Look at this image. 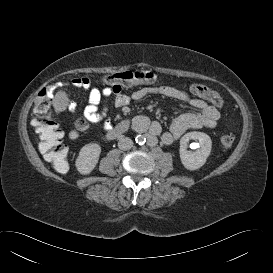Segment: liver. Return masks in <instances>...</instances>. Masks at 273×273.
<instances>
[{
	"mask_svg": "<svg viewBox=\"0 0 273 273\" xmlns=\"http://www.w3.org/2000/svg\"><path fill=\"white\" fill-rule=\"evenodd\" d=\"M69 104V98L64 91H58L53 99V107L57 113L65 111Z\"/></svg>",
	"mask_w": 273,
	"mask_h": 273,
	"instance_id": "1",
	"label": "liver"
}]
</instances>
